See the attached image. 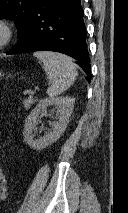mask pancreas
I'll return each mask as SVG.
<instances>
[{
	"label": "pancreas",
	"instance_id": "1",
	"mask_svg": "<svg viewBox=\"0 0 128 213\" xmlns=\"http://www.w3.org/2000/svg\"><path fill=\"white\" fill-rule=\"evenodd\" d=\"M35 102H37V100L34 99L32 96H30L23 100V105H24L25 109H29L31 107V105H33Z\"/></svg>",
	"mask_w": 128,
	"mask_h": 213
}]
</instances>
